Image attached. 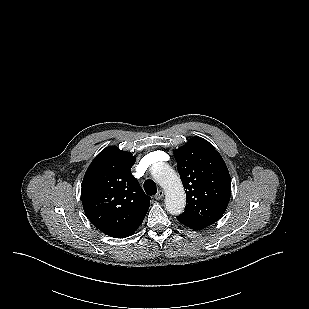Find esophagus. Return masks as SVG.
Here are the masks:
<instances>
[{
  "instance_id": "obj_1",
  "label": "esophagus",
  "mask_w": 309,
  "mask_h": 309,
  "mask_svg": "<svg viewBox=\"0 0 309 309\" xmlns=\"http://www.w3.org/2000/svg\"><path fill=\"white\" fill-rule=\"evenodd\" d=\"M164 191L162 190V189H160L159 191H158V193L155 195V199L156 200H160V199H162L163 197H164Z\"/></svg>"
}]
</instances>
